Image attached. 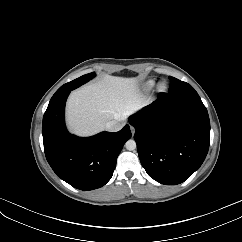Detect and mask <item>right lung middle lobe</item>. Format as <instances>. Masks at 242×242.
Instances as JSON below:
<instances>
[{
  "label": "right lung middle lobe",
  "instance_id": "right-lung-middle-lobe-1",
  "mask_svg": "<svg viewBox=\"0 0 242 242\" xmlns=\"http://www.w3.org/2000/svg\"><path fill=\"white\" fill-rule=\"evenodd\" d=\"M95 76V73H89L86 75H83L69 83L64 84L63 86H61L54 95H58L66 90H73L79 86H81L82 84L86 83L87 81H89L90 79H92ZM53 95V96H54Z\"/></svg>",
  "mask_w": 242,
  "mask_h": 242
}]
</instances>
